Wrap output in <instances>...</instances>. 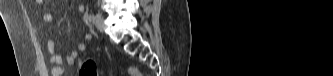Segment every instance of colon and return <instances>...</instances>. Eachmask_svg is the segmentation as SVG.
Returning <instances> with one entry per match:
<instances>
[{
    "instance_id": "obj_1",
    "label": "colon",
    "mask_w": 333,
    "mask_h": 76,
    "mask_svg": "<svg viewBox=\"0 0 333 76\" xmlns=\"http://www.w3.org/2000/svg\"><path fill=\"white\" fill-rule=\"evenodd\" d=\"M78 67L80 76H98L96 63L91 58L82 59ZM128 73L130 76H140V72L135 67H130Z\"/></svg>"
}]
</instances>
